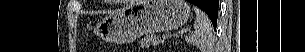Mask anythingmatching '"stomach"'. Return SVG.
<instances>
[{
	"instance_id": "stomach-1",
	"label": "stomach",
	"mask_w": 305,
	"mask_h": 52,
	"mask_svg": "<svg viewBox=\"0 0 305 52\" xmlns=\"http://www.w3.org/2000/svg\"><path fill=\"white\" fill-rule=\"evenodd\" d=\"M190 11L184 0H138L104 18L94 33L106 42L128 43L144 34L180 28Z\"/></svg>"
}]
</instances>
